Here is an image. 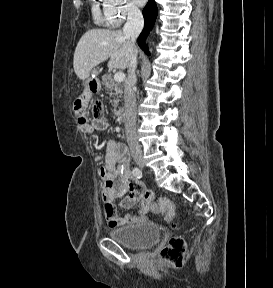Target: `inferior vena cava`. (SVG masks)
Returning <instances> with one entry per match:
<instances>
[{"label":"inferior vena cava","instance_id":"602c4592","mask_svg":"<svg viewBox=\"0 0 273 288\" xmlns=\"http://www.w3.org/2000/svg\"><path fill=\"white\" fill-rule=\"evenodd\" d=\"M144 26V20L141 11L131 6L128 8L127 22L123 27V35L130 40L131 59L128 66V77L124 85L125 102V133L131 153H141V147L136 133V98L134 86L136 83L135 70L137 67V50L135 42Z\"/></svg>","mask_w":273,"mask_h":288}]
</instances>
